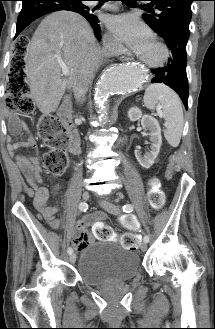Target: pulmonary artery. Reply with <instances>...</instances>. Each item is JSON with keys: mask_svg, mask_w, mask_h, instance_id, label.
I'll return each mask as SVG.
<instances>
[{"mask_svg": "<svg viewBox=\"0 0 215 329\" xmlns=\"http://www.w3.org/2000/svg\"><path fill=\"white\" fill-rule=\"evenodd\" d=\"M103 9L109 10V11H115L116 7L114 5L106 4V5L103 6Z\"/></svg>", "mask_w": 215, "mask_h": 329, "instance_id": "pulmonary-artery-1", "label": "pulmonary artery"}]
</instances>
